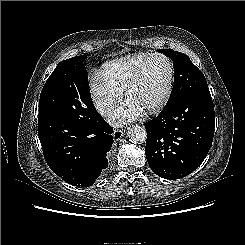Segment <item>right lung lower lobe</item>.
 I'll return each mask as SVG.
<instances>
[{"label":"right lung lower lobe","mask_w":245,"mask_h":245,"mask_svg":"<svg viewBox=\"0 0 245 245\" xmlns=\"http://www.w3.org/2000/svg\"><path fill=\"white\" fill-rule=\"evenodd\" d=\"M113 129L95 110L85 124L39 118L38 136L51 170L74 186H91L108 167Z\"/></svg>","instance_id":"obj_1"}]
</instances>
